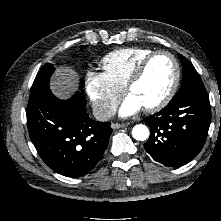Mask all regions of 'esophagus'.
Masks as SVG:
<instances>
[{
	"label": "esophagus",
	"instance_id": "1",
	"mask_svg": "<svg viewBox=\"0 0 221 221\" xmlns=\"http://www.w3.org/2000/svg\"><path fill=\"white\" fill-rule=\"evenodd\" d=\"M125 126H126V124H120V123H112V124H111V128H112V129L123 128V127H125Z\"/></svg>",
	"mask_w": 221,
	"mask_h": 221
}]
</instances>
